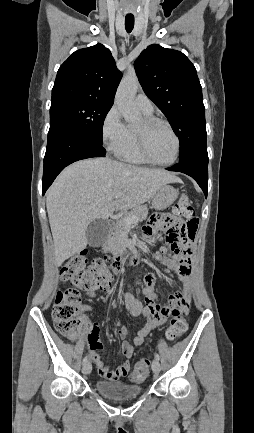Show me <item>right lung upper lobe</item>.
I'll list each match as a JSON object with an SVG mask.
<instances>
[{
  "label": "right lung upper lobe",
  "mask_w": 254,
  "mask_h": 433,
  "mask_svg": "<svg viewBox=\"0 0 254 433\" xmlns=\"http://www.w3.org/2000/svg\"><path fill=\"white\" fill-rule=\"evenodd\" d=\"M121 77L110 50L104 45L77 50L60 66L51 102L86 100L113 105Z\"/></svg>",
  "instance_id": "obj_1"
}]
</instances>
